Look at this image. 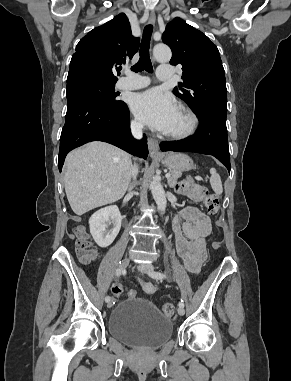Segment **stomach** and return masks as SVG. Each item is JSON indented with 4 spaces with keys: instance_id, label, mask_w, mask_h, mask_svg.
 I'll list each match as a JSON object with an SVG mask.
<instances>
[{
    "instance_id": "stomach-1",
    "label": "stomach",
    "mask_w": 291,
    "mask_h": 381,
    "mask_svg": "<svg viewBox=\"0 0 291 381\" xmlns=\"http://www.w3.org/2000/svg\"><path fill=\"white\" fill-rule=\"evenodd\" d=\"M159 159L163 165L174 171H188L194 166L193 160L184 153H169Z\"/></svg>"
}]
</instances>
